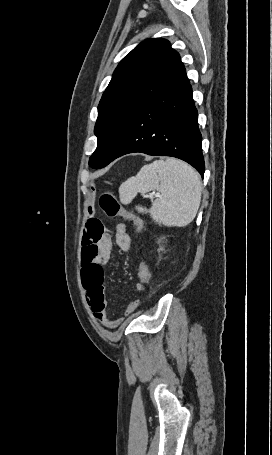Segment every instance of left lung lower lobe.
<instances>
[{"label":"left lung lower lobe","mask_w":272,"mask_h":455,"mask_svg":"<svg viewBox=\"0 0 272 455\" xmlns=\"http://www.w3.org/2000/svg\"><path fill=\"white\" fill-rule=\"evenodd\" d=\"M201 145L198 112L183 70L131 120L99 168L122 155L142 152L184 160L203 177Z\"/></svg>","instance_id":"left-lung-lower-lobe-1"}]
</instances>
